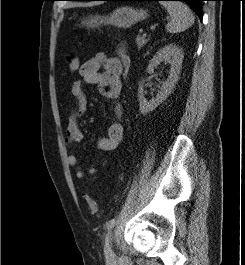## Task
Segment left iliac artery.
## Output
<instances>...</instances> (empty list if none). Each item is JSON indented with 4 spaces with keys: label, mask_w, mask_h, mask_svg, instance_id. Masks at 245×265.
Returning <instances> with one entry per match:
<instances>
[{
    "label": "left iliac artery",
    "mask_w": 245,
    "mask_h": 265,
    "mask_svg": "<svg viewBox=\"0 0 245 265\" xmlns=\"http://www.w3.org/2000/svg\"><path fill=\"white\" fill-rule=\"evenodd\" d=\"M116 220L115 219H111L110 221H108L106 228L107 230L112 229L115 226Z\"/></svg>",
    "instance_id": "obj_1"
}]
</instances>
